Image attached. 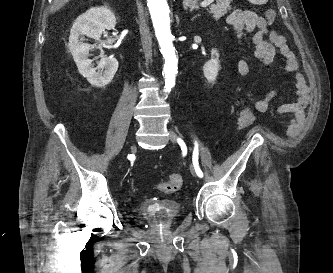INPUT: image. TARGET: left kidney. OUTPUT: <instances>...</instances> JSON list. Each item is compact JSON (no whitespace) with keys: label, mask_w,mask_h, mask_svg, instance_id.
Segmentation results:
<instances>
[{"label":"left kidney","mask_w":333,"mask_h":273,"mask_svg":"<svg viewBox=\"0 0 333 273\" xmlns=\"http://www.w3.org/2000/svg\"><path fill=\"white\" fill-rule=\"evenodd\" d=\"M219 69H220L219 54L217 50L212 49L211 59L207 61L203 66L204 76L208 82L212 83L216 80Z\"/></svg>","instance_id":"left-kidney-1"}]
</instances>
